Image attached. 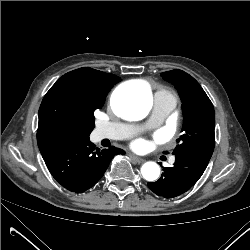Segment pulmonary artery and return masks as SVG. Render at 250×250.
Instances as JSON below:
<instances>
[{"label":"pulmonary artery","instance_id":"pulmonary-artery-1","mask_svg":"<svg viewBox=\"0 0 250 250\" xmlns=\"http://www.w3.org/2000/svg\"><path fill=\"white\" fill-rule=\"evenodd\" d=\"M176 106V100L172 97L157 93L154 97L152 114L145 125L136 126L123 123L109 122L101 125L97 129L98 139H125L135 134L145 127H155L160 125ZM175 159L171 158L170 163Z\"/></svg>","mask_w":250,"mask_h":250}]
</instances>
